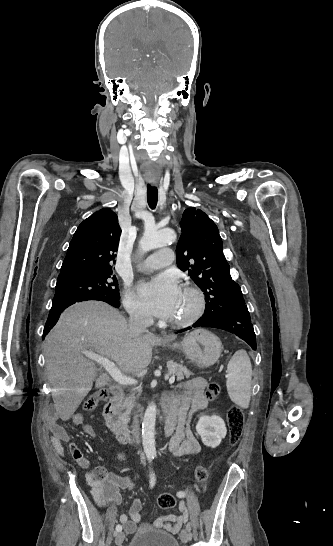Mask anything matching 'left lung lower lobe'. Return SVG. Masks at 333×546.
<instances>
[{
  "label": "left lung lower lobe",
  "instance_id": "0a47b994",
  "mask_svg": "<svg viewBox=\"0 0 333 546\" xmlns=\"http://www.w3.org/2000/svg\"><path fill=\"white\" fill-rule=\"evenodd\" d=\"M193 327H213L229 331L247 342L253 350H256V336L246 305L223 307L222 310L205 313ZM189 329L191 327L178 332Z\"/></svg>",
  "mask_w": 333,
  "mask_h": 546
}]
</instances>
